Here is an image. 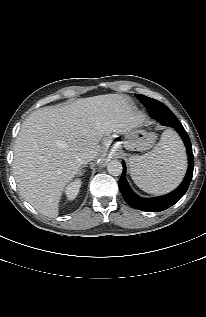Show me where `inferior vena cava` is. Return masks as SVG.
Segmentation results:
<instances>
[{"label":"inferior vena cava","instance_id":"1","mask_svg":"<svg viewBox=\"0 0 206 317\" xmlns=\"http://www.w3.org/2000/svg\"><path fill=\"white\" fill-rule=\"evenodd\" d=\"M95 158V154L91 152H85L81 153L77 157V161L79 164H87L89 161L93 160Z\"/></svg>","mask_w":206,"mask_h":317}]
</instances>
